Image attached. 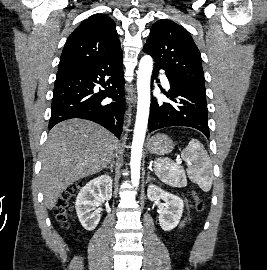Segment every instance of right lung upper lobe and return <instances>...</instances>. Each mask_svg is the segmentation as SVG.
Segmentation results:
<instances>
[{
	"label": "right lung upper lobe",
	"instance_id": "right-lung-upper-lobe-1",
	"mask_svg": "<svg viewBox=\"0 0 267 270\" xmlns=\"http://www.w3.org/2000/svg\"><path fill=\"white\" fill-rule=\"evenodd\" d=\"M122 56L115 22L97 14L83 21L68 37L58 72L92 65L108 58Z\"/></svg>",
	"mask_w": 267,
	"mask_h": 270
}]
</instances>
